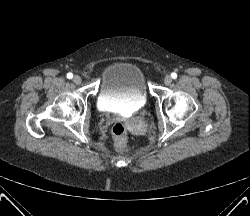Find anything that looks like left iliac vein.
Masks as SVG:
<instances>
[{"mask_svg": "<svg viewBox=\"0 0 250 216\" xmlns=\"http://www.w3.org/2000/svg\"><path fill=\"white\" fill-rule=\"evenodd\" d=\"M171 82H172V78H171V76H166L165 78H164V83L166 84V85H169V84H171Z\"/></svg>", "mask_w": 250, "mask_h": 216, "instance_id": "4c4485c4", "label": "left iliac vein"}]
</instances>
